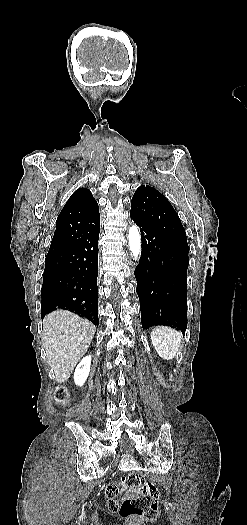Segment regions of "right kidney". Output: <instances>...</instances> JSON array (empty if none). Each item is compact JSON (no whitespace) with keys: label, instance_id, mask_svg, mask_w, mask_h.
Returning a JSON list of instances; mask_svg holds the SVG:
<instances>
[{"label":"right kidney","instance_id":"ca27d5eb","mask_svg":"<svg viewBox=\"0 0 247 525\" xmlns=\"http://www.w3.org/2000/svg\"><path fill=\"white\" fill-rule=\"evenodd\" d=\"M90 367H91V355H88V357H84V359L80 361L79 365H77L74 371L73 379L77 387H83L84 383H86L89 377Z\"/></svg>","mask_w":247,"mask_h":525}]
</instances>
